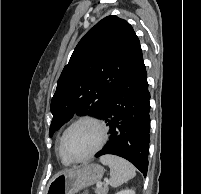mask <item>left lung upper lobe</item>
<instances>
[{"instance_id": "5c2ea615", "label": "left lung upper lobe", "mask_w": 201, "mask_h": 194, "mask_svg": "<svg viewBox=\"0 0 201 194\" xmlns=\"http://www.w3.org/2000/svg\"><path fill=\"white\" fill-rule=\"evenodd\" d=\"M140 51L139 39L127 21L111 15L92 27L57 82L49 136L75 114L100 117Z\"/></svg>"}]
</instances>
